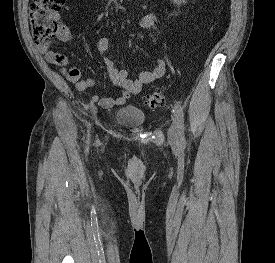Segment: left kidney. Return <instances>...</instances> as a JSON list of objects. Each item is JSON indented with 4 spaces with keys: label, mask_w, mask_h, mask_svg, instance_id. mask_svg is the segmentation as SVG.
<instances>
[{
    "label": "left kidney",
    "mask_w": 275,
    "mask_h": 263,
    "mask_svg": "<svg viewBox=\"0 0 275 263\" xmlns=\"http://www.w3.org/2000/svg\"><path fill=\"white\" fill-rule=\"evenodd\" d=\"M174 4L181 5L182 3H185V0H172Z\"/></svg>",
    "instance_id": "left-kidney-1"
}]
</instances>
